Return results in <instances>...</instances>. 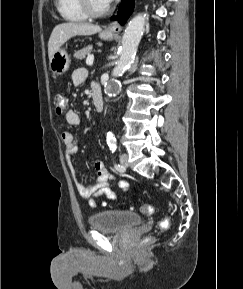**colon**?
<instances>
[{"instance_id": "5ec220e1", "label": "colon", "mask_w": 243, "mask_h": 289, "mask_svg": "<svg viewBox=\"0 0 243 289\" xmlns=\"http://www.w3.org/2000/svg\"><path fill=\"white\" fill-rule=\"evenodd\" d=\"M53 103H54L55 110H56L57 114L63 113V111L66 108L65 96L61 93H57L53 98ZM141 211L146 215H151L153 213V207L149 204H145L141 207ZM169 225H170L169 218H164L160 223V228L162 230H166V229H168ZM151 241H152V238L146 237L142 240V244L146 245V244L150 243Z\"/></svg>"}]
</instances>
